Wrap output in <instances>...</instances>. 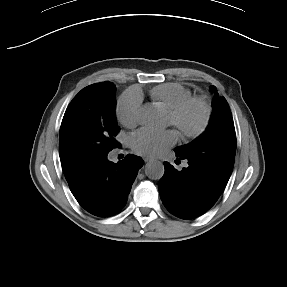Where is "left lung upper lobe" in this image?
Returning a JSON list of instances; mask_svg holds the SVG:
<instances>
[{
	"label": "left lung upper lobe",
	"mask_w": 287,
	"mask_h": 287,
	"mask_svg": "<svg viewBox=\"0 0 287 287\" xmlns=\"http://www.w3.org/2000/svg\"><path fill=\"white\" fill-rule=\"evenodd\" d=\"M211 90L214 93L213 113L207 129L193 142L174 151L210 170L214 180L226 185L234 166L236 133L226 99L219 97L215 86Z\"/></svg>",
	"instance_id": "1"
}]
</instances>
